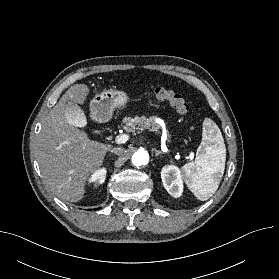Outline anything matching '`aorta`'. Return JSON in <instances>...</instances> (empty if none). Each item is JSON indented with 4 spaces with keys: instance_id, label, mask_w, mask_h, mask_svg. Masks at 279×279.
I'll return each mask as SVG.
<instances>
[{
    "instance_id": "1",
    "label": "aorta",
    "mask_w": 279,
    "mask_h": 279,
    "mask_svg": "<svg viewBox=\"0 0 279 279\" xmlns=\"http://www.w3.org/2000/svg\"><path fill=\"white\" fill-rule=\"evenodd\" d=\"M149 154L144 149H139L132 156V164L134 166H145L148 164Z\"/></svg>"
}]
</instances>
